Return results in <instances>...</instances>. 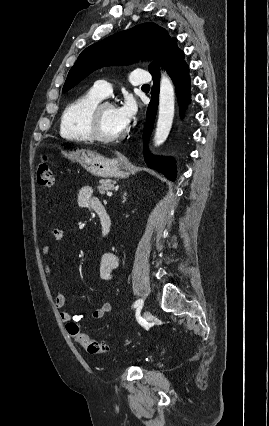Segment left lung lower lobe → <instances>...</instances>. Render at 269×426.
<instances>
[{
	"label": "left lung lower lobe",
	"mask_w": 269,
	"mask_h": 426,
	"mask_svg": "<svg viewBox=\"0 0 269 426\" xmlns=\"http://www.w3.org/2000/svg\"><path fill=\"white\" fill-rule=\"evenodd\" d=\"M157 62L160 65H163V68L167 70L168 74L173 80V83L176 86V93L178 96L182 114L185 106H187L190 102L191 82L189 77V67L184 60V52L178 48L176 38L162 53ZM149 71L153 76L154 83L151 91L152 98L147 110V121L144 134V138L146 141L152 130L157 112L160 79L158 68L153 66ZM145 160L150 168L162 172L170 180H175L176 168L175 163L171 158L151 156L148 151L145 150Z\"/></svg>",
	"instance_id": "1"
}]
</instances>
